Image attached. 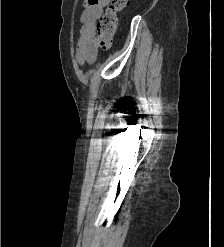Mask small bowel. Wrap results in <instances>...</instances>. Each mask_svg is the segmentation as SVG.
Instances as JSON below:
<instances>
[{
    "label": "small bowel",
    "instance_id": "obj_1",
    "mask_svg": "<svg viewBox=\"0 0 224 247\" xmlns=\"http://www.w3.org/2000/svg\"><path fill=\"white\" fill-rule=\"evenodd\" d=\"M110 0H86L80 17L82 26L77 40V59L80 63L93 62L97 55L96 21Z\"/></svg>",
    "mask_w": 224,
    "mask_h": 247
}]
</instances>
